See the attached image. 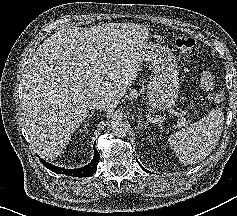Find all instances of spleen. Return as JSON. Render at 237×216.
I'll return each mask as SVG.
<instances>
[{"instance_id":"spleen-1","label":"spleen","mask_w":237,"mask_h":216,"mask_svg":"<svg viewBox=\"0 0 237 216\" xmlns=\"http://www.w3.org/2000/svg\"><path fill=\"white\" fill-rule=\"evenodd\" d=\"M218 127H210L206 119L192 123L186 129L168 135V145L180 158H203L218 140Z\"/></svg>"}]
</instances>
